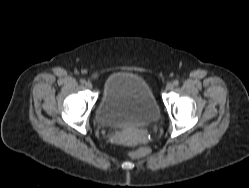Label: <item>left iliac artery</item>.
Here are the masks:
<instances>
[{
	"label": "left iliac artery",
	"instance_id": "obj_1",
	"mask_svg": "<svg viewBox=\"0 0 249 188\" xmlns=\"http://www.w3.org/2000/svg\"><path fill=\"white\" fill-rule=\"evenodd\" d=\"M173 85H174V86H178V85H179V81H178V80H175V81L173 82Z\"/></svg>",
	"mask_w": 249,
	"mask_h": 188
}]
</instances>
